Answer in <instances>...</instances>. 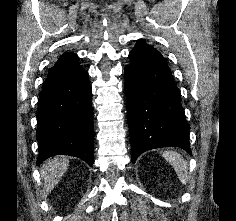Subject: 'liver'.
I'll return each mask as SVG.
<instances>
[{
  "mask_svg": "<svg viewBox=\"0 0 236 221\" xmlns=\"http://www.w3.org/2000/svg\"><path fill=\"white\" fill-rule=\"evenodd\" d=\"M69 159L64 156L46 160L41 168V177L44 181L42 197H46L61 180L67 171Z\"/></svg>",
  "mask_w": 236,
  "mask_h": 221,
  "instance_id": "1",
  "label": "liver"
}]
</instances>
